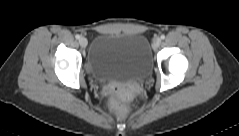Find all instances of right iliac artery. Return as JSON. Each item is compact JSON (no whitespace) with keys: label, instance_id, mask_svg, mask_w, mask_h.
Instances as JSON below:
<instances>
[{"label":"right iliac artery","instance_id":"82829eb1","mask_svg":"<svg viewBox=\"0 0 239 136\" xmlns=\"http://www.w3.org/2000/svg\"><path fill=\"white\" fill-rule=\"evenodd\" d=\"M75 38H76V39H80V35L77 34V35L75 36Z\"/></svg>","mask_w":239,"mask_h":136}]
</instances>
